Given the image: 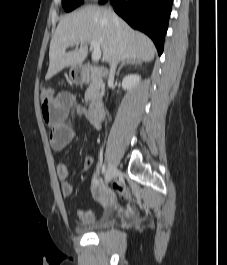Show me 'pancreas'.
<instances>
[{"label": "pancreas", "mask_w": 227, "mask_h": 265, "mask_svg": "<svg viewBox=\"0 0 227 265\" xmlns=\"http://www.w3.org/2000/svg\"><path fill=\"white\" fill-rule=\"evenodd\" d=\"M100 87L103 89V83L99 78L93 77L92 81L85 93V99L88 101L98 94Z\"/></svg>", "instance_id": "pancreas-1"}]
</instances>
